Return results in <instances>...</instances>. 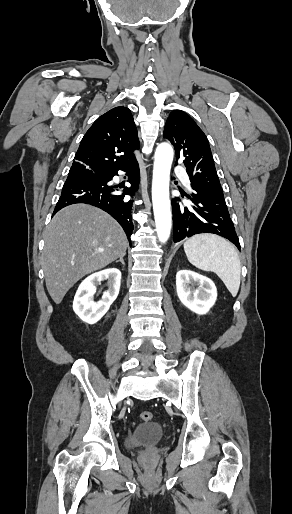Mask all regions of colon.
<instances>
[{
    "mask_svg": "<svg viewBox=\"0 0 292 514\" xmlns=\"http://www.w3.org/2000/svg\"><path fill=\"white\" fill-rule=\"evenodd\" d=\"M140 418L145 422L148 423L153 419V414L149 410H142L140 412Z\"/></svg>",
    "mask_w": 292,
    "mask_h": 514,
    "instance_id": "5ec220e1",
    "label": "colon"
}]
</instances>
